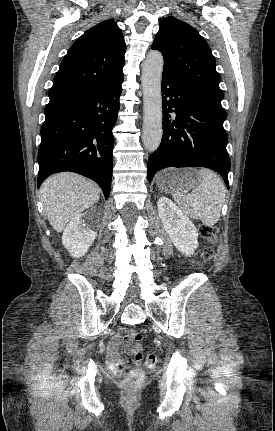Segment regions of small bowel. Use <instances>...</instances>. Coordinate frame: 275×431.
<instances>
[{"mask_svg":"<svg viewBox=\"0 0 275 431\" xmlns=\"http://www.w3.org/2000/svg\"><path fill=\"white\" fill-rule=\"evenodd\" d=\"M125 342V348L127 354H131L133 352V348L127 339V334L124 331H120L117 335H115L112 340L109 343L108 351H107V357H108V364L110 368L114 371L117 370L119 365L128 363V358H124L123 360H119L118 358V347L122 342Z\"/></svg>","mask_w":275,"mask_h":431,"instance_id":"small-bowel-1","label":"small bowel"}]
</instances>
